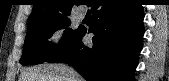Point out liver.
I'll list each match as a JSON object with an SVG mask.
<instances>
[{
    "instance_id": "liver-1",
    "label": "liver",
    "mask_w": 169,
    "mask_h": 81,
    "mask_svg": "<svg viewBox=\"0 0 169 81\" xmlns=\"http://www.w3.org/2000/svg\"><path fill=\"white\" fill-rule=\"evenodd\" d=\"M19 81H83V78L68 65L44 63L22 72Z\"/></svg>"
}]
</instances>
